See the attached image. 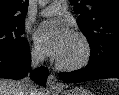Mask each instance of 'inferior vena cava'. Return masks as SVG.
I'll return each mask as SVG.
<instances>
[{"label": "inferior vena cava", "mask_w": 119, "mask_h": 95, "mask_svg": "<svg viewBox=\"0 0 119 95\" xmlns=\"http://www.w3.org/2000/svg\"><path fill=\"white\" fill-rule=\"evenodd\" d=\"M44 60V56L38 52L31 54V68L34 69ZM35 87L29 77L21 81V95H35Z\"/></svg>", "instance_id": "obj_1"}]
</instances>
